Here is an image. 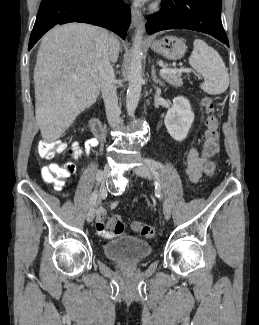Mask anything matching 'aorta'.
<instances>
[{"mask_svg":"<svg viewBox=\"0 0 259 325\" xmlns=\"http://www.w3.org/2000/svg\"><path fill=\"white\" fill-rule=\"evenodd\" d=\"M142 59V33L140 30H137L134 36L133 47L131 51V63L128 76L129 85L126 96V107L129 116H132L134 114L140 100L143 82Z\"/></svg>","mask_w":259,"mask_h":325,"instance_id":"aorta-1","label":"aorta"}]
</instances>
